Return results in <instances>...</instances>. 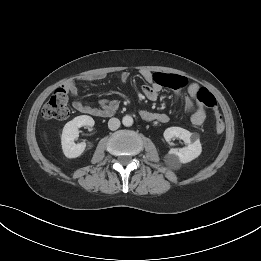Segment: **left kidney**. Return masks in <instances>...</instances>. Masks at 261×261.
Returning <instances> with one entry per match:
<instances>
[{"label": "left kidney", "instance_id": "5707ae66", "mask_svg": "<svg viewBox=\"0 0 261 261\" xmlns=\"http://www.w3.org/2000/svg\"><path fill=\"white\" fill-rule=\"evenodd\" d=\"M163 136L167 142L176 137L187 144L186 147L181 149H170L166 159L171 165L177 163H188L197 158L202 152L198 136L186 129L181 127H169L164 131Z\"/></svg>", "mask_w": 261, "mask_h": 261}]
</instances>
